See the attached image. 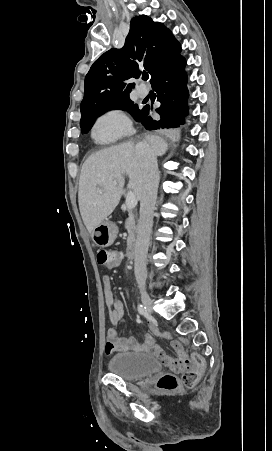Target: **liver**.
<instances>
[{"mask_svg":"<svg viewBox=\"0 0 272 451\" xmlns=\"http://www.w3.org/2000/svg\"><path fill=\"white\" fill-rule=\"evenodd\" d=\"M145 140L156 156H163L168 150L165 140L160 136H145ZM123 174L129 176V190H133L136 200H141L143 168L136 156L134 142H123L119 146L94 152L84 162L79 180L78 202L82 220L89 233L118 206L125 184ZM98 190H103V194H99Z\"/></svg>","mask_w":272,"mask_h":451,"instance_id":"obj_1","label":"liver"}]
</instances>
